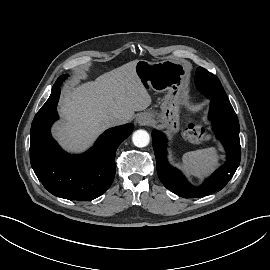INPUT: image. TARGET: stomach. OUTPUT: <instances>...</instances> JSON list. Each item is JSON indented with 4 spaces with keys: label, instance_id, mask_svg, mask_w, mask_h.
<instances>
[{
    "label": "stomach",
    "instance_id": "stomach-1",
    "mask_svg": "<svg viewBox=\"0 0 270 270\" xmlns=\"http://www.w3.org/2000/svg\"><path fill=\"white\" fill-rule=\"evenodd\" d=\"M135 72L141 83L161 97L160 111L153 114V124L174 136L180 128V108L184 102L189 75L187 62L167 59L160 62L138 60Z\"/></svg>",
    "mask_w": 270,
    "mask_h": 270
}]
</instances>
